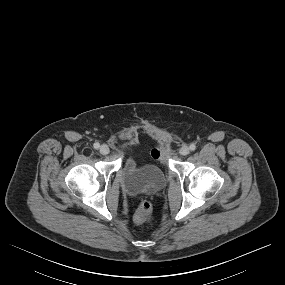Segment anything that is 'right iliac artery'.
Listing matches in <instances>:
<instances>
[{
    "label": "right iliac artery",
    "mask_w": 285,
    "mask_h": 285,
    "mask_svg": "<svg viewBox=\"0 0 285 285\" xmlns=\"http://www.w3.org/2000/svg\"><path fill=\"white\" fill-rule=\"evenodd\" d=\"M93 147H94L95 149H98V148L100 147V144H99L98 142H95V143L93 144Z\"/></svg>",
    "instance_id": "82829eb1"
}]
</instances>
